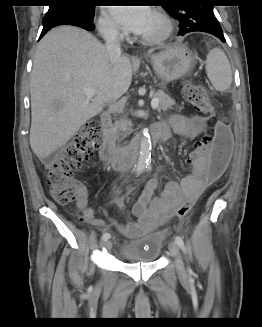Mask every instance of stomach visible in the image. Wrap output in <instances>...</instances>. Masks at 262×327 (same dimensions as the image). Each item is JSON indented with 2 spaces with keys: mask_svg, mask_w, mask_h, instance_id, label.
<instances>
[{
  "mask_svg": "<svg viewBox=\"0 0 262 327\" xmlns=\"http://www.w3.org/2000/svg\"><path fill=\"white\" fill-rule=\"evenodd\" d=\"M151 63L157 77L167 84L189 73L194 66V58L187 47L174 45L152 55Z\"/></svg>",
  "mask_w": 262,
  "mask_h": 327,
  "instance_id": "obj_1",
  "label": "stomach"
}]
</instances>
